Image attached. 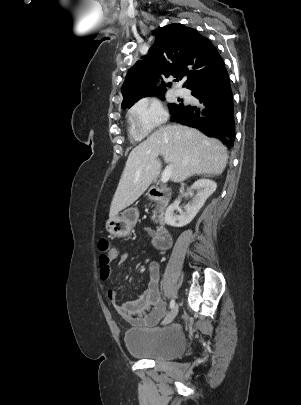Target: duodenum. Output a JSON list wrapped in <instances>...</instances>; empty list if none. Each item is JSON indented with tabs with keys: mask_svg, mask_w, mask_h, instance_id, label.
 Returning a JSON list of instances; mask_svg holds the SVG:
<instances>
[{
	"mask_svg": "<svg viewBox=\"0 0 301 405\" xmlns=\"http://www.w3.org/2000/svg\"><path fill=\"white\" fill-rule=\"evenodd\" d=\"M150 196L152 199L158 201L162 207H165L171 199L172 191L166 187H152L150 190ZM162 225L155 231V237L153 243L156 248H167L171 244V237L168 230L164 226V219H161Z\"/></svg>",
	"mask_w": 301,
	"mask_h": 405,
	"instance_id": "410a0bca",
	"label": "duodenum"
}]
</instances>
